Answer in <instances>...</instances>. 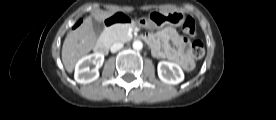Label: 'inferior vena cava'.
<instances>
[{
    "instance_id": "602c4592",
    "label": "inferior vena cava",
    "mask_w": 276,
    "mask_h": 120,
    "mask_svg": "<svg viewBox=\"0 0 276 120\" xmlns=\"http://www.w3.org/2000/svg\"><path fill=\"white\" fill-rule=\"evenodd\" d=\"M122 47H123V43H121V42L114 43V44L111 46V52H112V53H115V52H117L118 50H120Z\"/></svg>"
}]
</instances>
